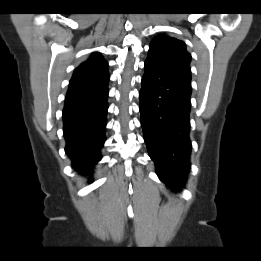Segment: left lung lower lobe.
<instances>
[{
	"label": "left lung lower lobe",
	"instance_id": "left-lung-lower-lobe-1",
	"mask_svg": "<svg viewBox=\"0 0 261 261\" xmlns=\"http://www.w3.org/2000/svg\"><path fill=\"white\" fill-rule=\"evenodd\" d=\"M140 90L141 125L160 180L179 190L190 169L191 78L145 61Z\"/></svg>",
	"mask_w": 261,
	"mask_h": 261
}]
</instances>
